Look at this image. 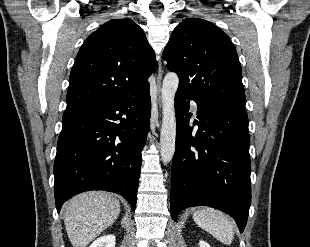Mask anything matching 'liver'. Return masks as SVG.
Masks as SVG:
<instances>
[{
	"mask_svg": "<svg viewBox=\"0 0 310 247\" xmlns=\"http://www.w3.org/2000/svg\"><path fill=\"white\" fill-rule=\"evenodd\" d=\"M120 213V203L110 193L90 191L70 199L64 210V224L73 247H86L111 226Z\"/></svg>",
	"mask_w": 310,
	"mask_h": 247,
	"instance_id": "obj_1",
	"label": "liver"
}]
</instances>
